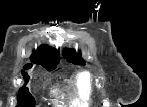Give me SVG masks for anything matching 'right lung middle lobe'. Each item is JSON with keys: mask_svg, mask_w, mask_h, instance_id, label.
<instances>
[{"mask_svg": "<svg viewBox=\"0 0 147 107\" xmlns=\"http://www.w3.org/2000/svg\"><path fill=\"white\" fill-rule=\"evenodd\" d=\"M31 66L26 67L27 69L30 68ZM56 66H48L45 67L48 70H53ZM23 76L26 82H28L29 76L27 73L23 72ZM35 105V100L31 96V94L28 91V88L22 87L20 89V92L18 93V105L17 107H30Z\"/></svg>", "mask_w": 147, "mask_h": 107, "instance_id": "obj_1", "label": "right lung middle lobe"}]
</instances>
